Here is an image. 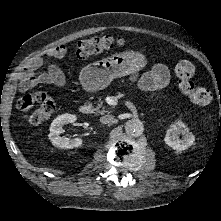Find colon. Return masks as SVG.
Wrapping results in <instances>:
<instances>
[{
	"mask_svg": "<svg viewBox=\"0 0 221 221\" xmlns=\"http://www.w3.org/2000/svg\"><path fill=\"white\" fill-rule=\"evenodd\" d=\"M124 39L111 35H98L78 42L76 55L79 58H87L93 55L104 53L114 47L124 45ZM196 74L195 65L188 60H182L175 66V75L180 91L193 103L206 105L211 100L210 92L194 82ZM36 107L34 110H32ZM19 110L24 114V119L29 125H39L49 119L56 110L54 98L46 91L39 90L20 98Z\"/></svg>",
	"mask_w": 221,
	"mask_h": 221,
	"instance_id": "colon-1",
	"label": "colon"
}]
</instances>
